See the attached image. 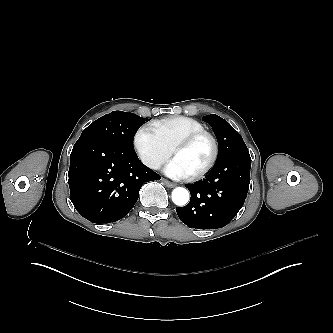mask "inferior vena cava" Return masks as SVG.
Here are the masks:
<instances>
[{
  "mask_svg": "<svg viewBox=\"0 0 333 333\" xmlns=\"http://www.w3.org/2000/svg\"><path fill=\"white\" fill-rule=\"evenodd\" d=\"M161 168V164L156 163L153 165V169H160Z\"/></svg>",
  "mask_w": 333,
  "mask_h": 333,
  "instance_id": "inferior-vena-cava-1",
  "label": "inferior vena cava"
}]
</instances>
